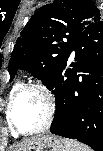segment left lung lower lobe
Here are the masks:
<instances>
[{"label":"left lung lower lobe","mask_w":103,"mask_h":151,"mask_svg":"<svg viewBox=\"0 0 103 151\" xmlns=\"http://www.w3.org/2000/svg\"><path fill=\"white\" fill-rule=\"evenodd\" d=\"M73 50L75 61L69 65ZM70 54L46 85L56 98L50 131L103 151V26L86 28Z\"/></svg>","instance_id":"left-lung-lower-lobe-1"}]
</instances>
